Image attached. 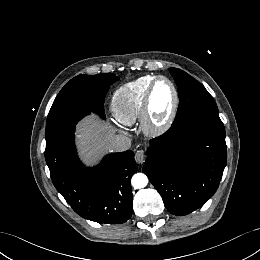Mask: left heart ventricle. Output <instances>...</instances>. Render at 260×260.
<instances>
[{"label":"left heart ventricle","instance_id":"b2bd125f","mask_svg":"<svg viewBox=\"0 0 260 260\" xmlns=\"http://www.w3.org/2000/svg\"><path fill=\"white\" fill-rule=\"evenodd\" d=\"M174 95L170 85L165 81H160L153 93L151 102V114L154 124L164 123L173 108Z\"/></svg>","mask_w":260,"mask_h":260}]
</instances>
